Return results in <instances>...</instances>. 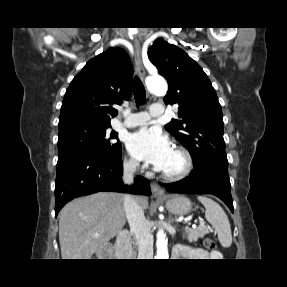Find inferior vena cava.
Returning <instances> with one entry per match:
<instances>
[{
  "label": "inferior vena cava",
  "mask_w": 287,
  "mask_h": 287,
  "mask_svg": "<svg viewBox=\"0 0 287 287\" xmlns=\"http://www.w3.org/2000/svg\"><path fill=\"white\" fill-rule=\"evenodd\" d=\"M136 167V162L124 163L122 177L124 183L131 184L133 182ZM124 208L130 231L138 245V259H153V235L150 233V226L144 216L143 208L131 195L124 196Z\"/></svg>",
  "instance_id": "1"
}]
</instances>
